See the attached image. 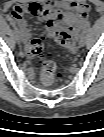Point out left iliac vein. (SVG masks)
<instances>
[{
	"mask_svg": "<svg viewBox=\"0 0 104 137\" xmlns=\"http://www.w3.org/2000/svg\"><path fill=\"white\" fill-rule=\"evenodd\" d=\"M84 35L80 36L79 39H78V45L79 47H83L84 44H85V40H84Z\"/></svg>",
	"mask_w": 104,
	"mask_h": 137,
	"instance_id": "1",
	"label": "left iliac vein"
}]
</instances>
